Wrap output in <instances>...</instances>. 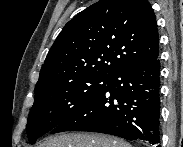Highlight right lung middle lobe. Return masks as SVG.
<instances>
[{
    "mask_svg": "<svg viewBox=\"0 0 183 147\" xmlns=\"http://www.w3.org/2000/svg\"><path fill=\"white\" fill-rule=\"evenodd\" d=\"M109 77L88 76L35 90L26 132L31 144L52 131L72 112L102 89Z\"/></svg>",
    "mask_w": 183,
    "mask_h": 147,
    "instance_id": "dd1d6c3e",
    "label": "right lung middle lobe"
}]
</instances>
